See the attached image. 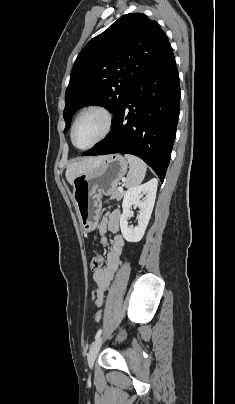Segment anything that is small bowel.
Here are the masks:
<instances>
[{
  "label": "small bowel",
  "mask_w": 235,
  "mask_h": 404,
  "mask_svg": "<svg viewBox=\"0 0 235 404\" xmlns=\"http://www.w3.org/2000/svg\"><path fill=\"white\" fill-rule=\"evenodd\" d=\"M119 211L110 213L102 222L100 232L103 234L107 229L116 233L119 229ZM124 252V240L117 235L107 253L106 265L94 272L93 279L96 289L93 294V303L100 308L104 302V294L109 289L111 281L120 264Z\"/></svg>",
  "instance_id": "1"
}]
</instances>
